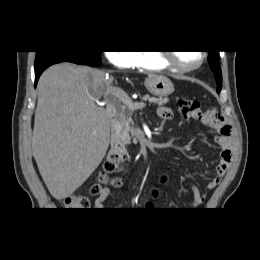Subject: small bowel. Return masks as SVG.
Returning a JSON list of instances; mask_svg holds the SVG:
<instances>
[{
    "mask_svg": "<svg viewBox=\"0 0 260 260\" xmlns=\"http://www.w3.org/2000/svg\"><path fill=\"white\" fill-rule=\"evenodd\" d=\"M157 112L159 117L164 120H170L174 115L173 110L166 106L159 107ZM195 119L202 121L204 124L216 130L215 140L221 149V157L218 165L216 166L215 174L206 186V190L211 191L220 183L231 164L233 151L232 126L220 114L212 110L202 112V114ZM191 189L193 193V201L190 208L197 209L205 201L206 194L201 193L199 188L195 185H193ZM109 194L110 191L108 189H104L95 199L94 208L102 209Z\"/></svg>",
    "mask_w": 260,
    "mask_h": 260,
    "instance_id": "c3829d8e",
    "label": "small bowel"
}]
</instances>
